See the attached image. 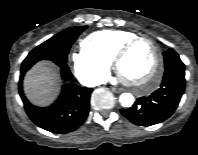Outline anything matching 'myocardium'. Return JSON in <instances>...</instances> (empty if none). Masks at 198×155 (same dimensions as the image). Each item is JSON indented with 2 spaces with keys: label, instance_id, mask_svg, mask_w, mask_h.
I'll return each mask as SVG.
<instances>
[{
  "label": "myocardium",
  "instance_id": "obj_1",
  "mask_svg": "<svg viewBox=\"0 0 198 155\" xmlns=\"http://www.w3.org/2000/svg\"><path fill=\"white\" fill-rule=\"evenodd\" d=\"M145 41L152 45L155 52V61L153 68L147 78L141 83L131 82L125 79L126 84L134 87L140 93H149L154 90L159 84L161 78V70L163 65V57L161 50L155 40L145 36L134 37L125 42L114 54L112 58L113 66L117 73H119L118 66L120 61L127 55V53L139 42ZM145 87V88H141Z\"/></svg>",
  "mask_w": 198,
  "mask_h": 155
}]
</instances>
